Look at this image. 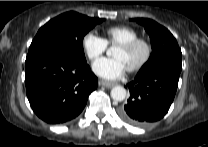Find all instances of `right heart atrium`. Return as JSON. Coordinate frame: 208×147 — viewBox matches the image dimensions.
<instances>
[{
  "instance_id": "d8ad5b80",
  "label": "right heart atrium",
  "mask_w": 208,
  "mask_h": 147,
  "mask_svg": "<svg viewBox=\"0 0 208 147\" xmlns=\"http://www.w3.org/2000/svg\"><path fill=\"white\" fill-rule=\"evenodd\" d=\"M82 47L90 60H96L107 49V42L104 38L94 32H88L82 39Z\"/></svg>"
}]
</instances>
